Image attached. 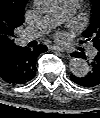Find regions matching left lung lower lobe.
I'll list each match as a JSON object with an SVG mask.
<instances>
[{
	"mask_svg": "<svg viewBox=\"0 0 100 118\" xmlns=\"http://www.w3.org/2000/svg\"><path fill=\"white\" fill-rule=\"evenodd\" d=\"M73 57L83 55L81 53H72ZM71 80L84 87H93L100 84V51L91 62V71L84 77L70 76Z\"/></svg>",
	"mask_w": 100,
	"mask_h": 118,
	"instance_id": "obj_1",
	"label": "left lung lower lobe"
}]
</instances>
